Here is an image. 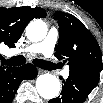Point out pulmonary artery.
<instances>
[{"label": "pulmonary artery", "instance_id": "pulmonary-artery-1", "mask_svg": "<svg viewBox=\"0 0 103 103\" xmlns=\"http://www.w3.org/2000/svg\"><path fill=\"white\" fill-rule=\"evenodd\" d=\"M58 40V31L56 28H51L46 38L36 44H32L26 48L16 50L17 53H42L45 57H50L53 54L55 45ZM64 78H68L69 70L65 69L61 72Z\"/></svg>", "mask_w": 103, "mask_h": 103}]
</instances>
